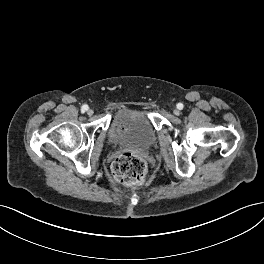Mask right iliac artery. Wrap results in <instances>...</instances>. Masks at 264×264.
<instances>
[{"label":"right iliac artery","instance_id":"obj_1","mask_svg":"<svg viewBox=\"0 0 264 264\" xmlns=\"http://www.w3.org/2000/svg\"><path fill=\"white\" fill-rule=\"evenodd\" d=\"M88 108H89L88 105L85 104L82 106L81 111L86 112L88 110Z\"/></svg>","mask_w":264,"mask_h":264}]
</instances>
